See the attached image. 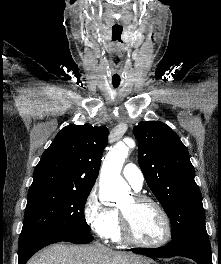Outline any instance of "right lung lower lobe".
I'll use <instances>...</instances> for the list:
<instances>
[{"label":"right lung lower lobe","mask_w":221,"mask_h":264,"mask_svg":"<svg viewBox=\"0 0 221 264\" xmlns=\"http://www.w3.org/2000/svg\"><path fill=\"white\" fill-rule=\"evenodd\" d=\"M93 240V236L89 234L84 235H52L41 236L34 239L27 240L19 245L18 264H26L28 259L41 248L56 242L67 241L76 244H86Z\"/></svg>","instance_id":"right-lung-lower-lobe-1"}]
</instances>
